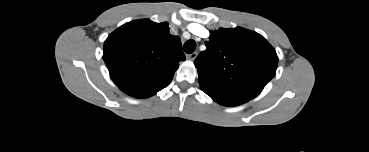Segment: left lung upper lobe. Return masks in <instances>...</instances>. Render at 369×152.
Instances as JSON below:
<instances>
[{"instance_id":"1","label":"left lung upper lobe","mask_w":369,"mask_h":152,"mask_svg":"<svg viewBox=\"0 0 369 152\" xmlns=\"http://www.w3.org/2000/svg\"><path fill=\"white\" fill-rule=\"evenodd\" d=\"M205 45L194 61L202 90L251 100L275 76L276 51L256 32L220 28Z\"/></svg>"}]
</instances>
